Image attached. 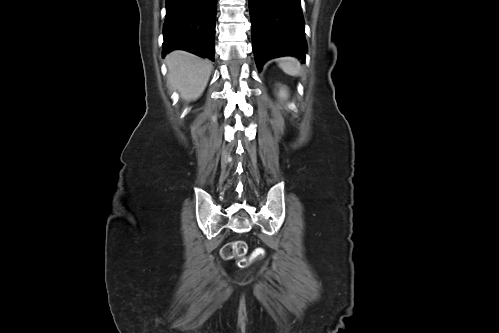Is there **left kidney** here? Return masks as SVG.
<instances>
[{
    "label": "left kidney",
    "instance_id": "obj_1",
    "mask_svg": "<svg viewBox=\"0 0 499 333\" xmlns=\"http://www.w3.org/2000/svg\"><path fill=\"white\" fill-rule=\"evenodd\" d=\"M278 97L280 99H286L288 97V91L285 87H281L278 92Z\"/></svg>",
    "mask_w": 499,
    "mask_h": 333
}]
</instances>
